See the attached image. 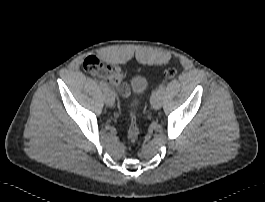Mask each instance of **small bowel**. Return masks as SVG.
Masks as SVG:
<instances>
[{"label":"small bowel","mask_w":265,"mask_h":202,"mask_svg":"<svg viewBox=\"0 0 265 202\" xmlns=\"http://www.w3.org/2000/svg\"><path fill=\"white\" fill-rule=\"evenodd\" d=\"M101 60L97 55L87 56L82 63L84 71L91 73L99 78L105 79L113 88H115L122 96L130 95V85L123 81L124 74L119 66L100 67Z\"/></svg>","instance_id":"obj_1"}]
</instances>
